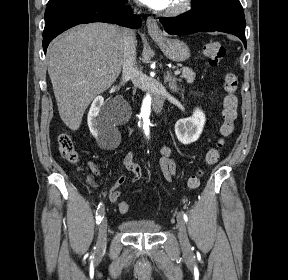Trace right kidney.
<instances>
[{
    "instance_id": "right-kidney-1",
    "label": "right kidney",
    "mask_w": 288,
    "mask_h": 280,
    "mask_svg": "<svg viewBox=\"0 0 288 280\" xmlns=\"http://www.w3.org/2000/svg\"><path fill=\"white\" fill-rule=\"evenodd\" d=\"M104 98L97 96L88 113V126L91 134L95 137L98 145L103 148H111V141L116 134L115 128L106 125L105 116L101 112Z\"/></svg>"
}]
</instances>
